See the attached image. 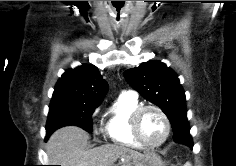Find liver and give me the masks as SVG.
Wrapping results in <instances>:
<instances>
[{
	"label": "liver",
	"mask_w": 236,
	"mask_h": 166,
	"mask_svg": "<svg viewBox=\"0 0 236 166\" xmlns=\"http://www.w3.org/2000/svg\"><path fill=\"white\" fill-rule=\"evenodd\" d=\"M89 135L76 126L56 130L46 144V153L52 165L61 166H113L122 158L136 166L141 164L145 154L123 145L107 144L88 149Z\"/></svg>",
	"instance_id": "liver-1"
}]
</instances>
